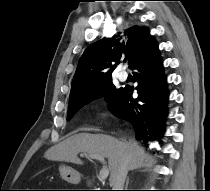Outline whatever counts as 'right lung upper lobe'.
Wrapping results in <instances>:
<instances>
[{
	"label": "right lung upper lobe",
	"mask_w": 210,
	"mask_h": 191,
	"mask_svg": "<svg viewBox=\"0 0 210 191\" xmlns=\"http://www.w3.org/2000/svg\"><path fill=\"white\" fill-rule=\"evenodd\" d=\"M154 40L147 28L133 26L112 38L90 45L81 56L72 80L70 99L84 95L112 78L125 57L131 67L137 56Z\"/></svg>",
	"instance_id": "1"
}]
</instances>
